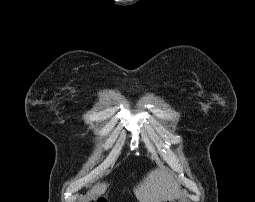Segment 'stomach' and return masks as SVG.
Wrapping results in <instances>:
<instances>
[{
    "label": "stomach",
    "mask_w": 255,
    "mask_h": 202,
    "mask_svg": "<svg viewBox=\"0 0 255 202\" xmlns=\"http://www.w3.org/2000/svg\"><path fill=\"white\" fill-rule=\"evenodd\" d=\"M162 202H177L174 198H168L163 200Z\"/></svg>",
    "instance_id": "1"
}]
</instances>
